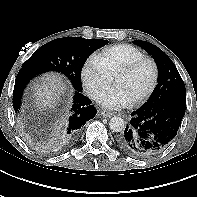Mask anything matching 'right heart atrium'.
I'll return each mask as SVG.
<instances>
[{
	"label": "right heart atrium",
	"mask_w": 197,
	"mask_h": 197,
	"mask_svg": "<svg viewBox=\"0 0 197 197\" xmlns=\"http://www.w3.org/2000/svg\"><path fill=\"white\" fill-rule=\"evenodd\" d=\"M112 77L95 56L89 57L81 69V81L90 98L96 99L111 83Z\"/></svg>",
	"instance_id": "obj_1"
}]
</instances>
